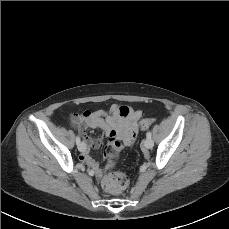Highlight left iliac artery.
<instances>
[{
    "instance_id": "44dca946",
    "label": "left iliac artery",
    "mask_w": 229,
    "mask_h": 229,
    "mask_svg": "<svg viewBox=\"0 0 229 229\" xmlns=\"http://www.w3.org/2000/svg\"><path fill=\"white\" fill-rule=\"evenodd\" d=\"M146 136H147V138H151V132L148 131V132L146 133Z\"/></svg>"
}]
</instances>
